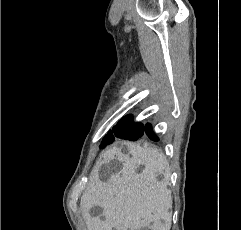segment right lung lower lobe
<instances>
[{
  "instance_id": "1",
  "label": "right lung lower lobe",
  "mask_w": 241,
  "mask_h": 230,
  "mask_svg": "<svg viewBox=\"0 0 241 230\" xmlns=\"http://www.w3.org/2000/svg\"><path fill=\"white\" fill-rule=\"evenodd\" d=\"M128 131L132 132L134 134H137L138 136H143L144 131L146 132L147 136L153 140L158 141V138L155 136V134L152 132V128L150 124H146L145 127L143 124L139 123H133L128 127Z\"/></svg>"
}]
</instances>
